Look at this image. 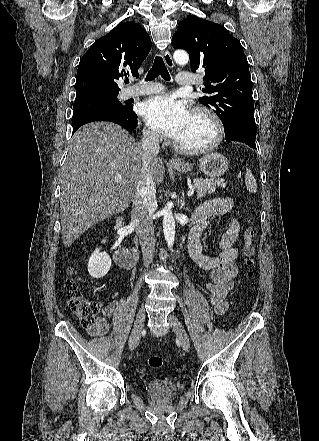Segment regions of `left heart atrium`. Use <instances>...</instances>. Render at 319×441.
I'll list each match as a JSON object with an SVG mask.
<instances>
[{
  "instance_id": "39dd6f15",
  "label": "left heart atrium",
  "mask_w": 319,
  "mask_h": 441,
  "mask_svg": "<svg viewBox=\"0 0 319 441\" xmlns=\"http://www.w3.org/2000/svg\"><path fill=\"white\" fill-rule=\"evenodd\" d=\"M141 115L153 129L175 140L191 118L187 106L170 94L153 96L143 101Z\"/></svg>"
}]
</instances>
